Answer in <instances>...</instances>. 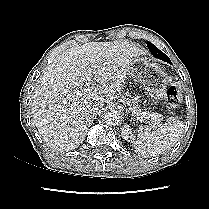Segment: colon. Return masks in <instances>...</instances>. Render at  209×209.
I'll return each instance as SVG.
<instances>
[{
    "instance_id": "5ec220e1",
    "label": "colon",
    "mask_w": 209,
    "mask_h": 209,
    "mask_svg": "<svg viewBox=\"0 0 209 209\" xmlns=\"http://www.w3.org/2000/svg\"><path fill=\"white\" fill-rule=\"evenodd\" d=\"M182 99V92L176 85H170L166 92V102L170 107L177 106Z\"/></svg>"
}]
</instances>
